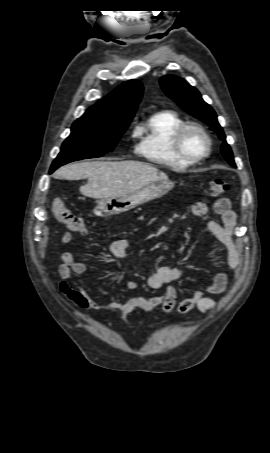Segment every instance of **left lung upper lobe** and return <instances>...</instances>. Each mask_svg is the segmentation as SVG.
<instances>
[{
	"mask_svg": "<svg viewBox=\"0 0 270 453\" xmlns=\"http://www.w3.org/2000/svg\"><path fill=\"white\" fill-rule=\"evenodd\" d=\"M160 85L165 94L177 102L186 112L208 124L211 129L218 133L223 140L221 152L226 160L236 167L232 150L225 140V134L217 121V115L213 108L202 99L199 91L189 85L183 78L166 75L160 80Z\"/></svg>",
	"mask_w": 270,
	"mask_h": 453,
	"instance_id": "obj_1",
	"label": "left lung upper lobe"
}]
</instances>
